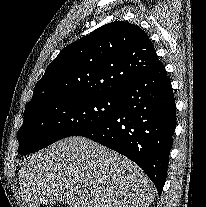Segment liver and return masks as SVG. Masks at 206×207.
<instances>
[{
    "mask_svg": "<svg viewBox=\"0 0 206 207\" xmlns=\"http://www.w3.org/2000/svg\"><path fill=\"white\" fill-rule=\"evenodd\" d=\"M28 207H149L155 187L131 160L90 139L72 136L29 156L19 172Z\"/></svg>",
    "mask_w": 206,
    "mask_h": 207,
    "instance_id": "6515ba94",
    "label": "liver"
}]
</instances>
